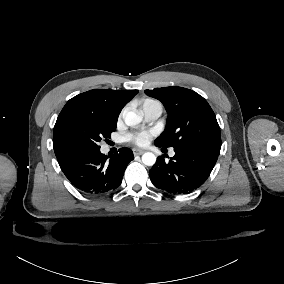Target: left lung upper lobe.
<instances>
[{"instance_id": "5c2ea615", "label": "left lung upper lobe", "mask_w": 284, "mask_h": 284, "mask_svg": "<svg viewBox=\"0 0 284 284\" xmlns=\"http://www.w3.org/2000/svg\"><path fill=\"white\" fill-rule=\"evenodd\" d=\"M160 100L168 112L165 131L155 140L164 146L193 148L218 156L220 127L208 102L198 93L182 87L145 90Z\"/></svg>"}]
</instances>
